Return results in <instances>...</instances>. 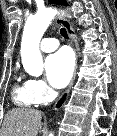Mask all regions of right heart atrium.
Returning <instances> with one entry per match:
<instances>
[{"instance_id": "1", "label": "right heart atrium", "mask_w": 117, "mask_h": 136, "mask_svg": "<svg viewBox=\"0 0 117 136\" xmlns=\"http://www.w3.org/2000/svg\"><path fill=\"white\" fill-rule=\"evenodd\" d=\"M29 86L38 104L45 103L52 97V90L43 80H30Z\"/></svg>"}]
</instances>
